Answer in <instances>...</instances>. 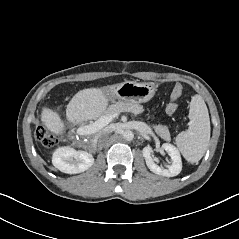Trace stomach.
Instances as JSON below:
<instances>
[{
	"instance_id": "0dacf381",
	"label": "stomach",
	"mask_w": 239,
	"mask_h": 239,
	"mask_svg": "<svg viewBox=\"0 0 239 239\" xmlns=\"http://www.w3.org/2000/svg\"><path fill=\"white\" fill-rule=\"evenodd\" d=\"M155 91L156 88L153 84L135 81H125L104 89L110 101L118 99L119 101L130 103H145L154 96Z\"/></svg>"
}]
</instances>
